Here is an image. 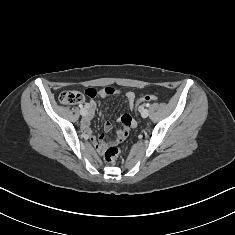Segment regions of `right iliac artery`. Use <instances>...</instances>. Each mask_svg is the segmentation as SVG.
I'll return each mask as SVG.
<instances>
[{
    "mask_svg": "<svg viewBox=\"0 0 235 235\" xmlns=\"http://www.w3.org/2000/svg\"><path fill=\"white\" fill-rule=\"evenodd\" d=\"M79 107H80L81 109H83V105H79Z\"/></svg>",
    "mask_w": 235,
    "mask_h": 235,
    "instance_id": "82829eb1",
    "label": "right iliac artery"
}]
</instances>
